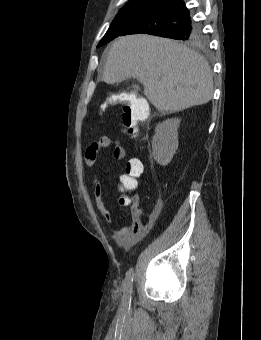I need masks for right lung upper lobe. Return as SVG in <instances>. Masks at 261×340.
Segmentation results:
<instances>
[{"label": "right lung upper lobe", "mask_w": 261, "mask_h": 340, "mask_svg": "<svg viewBox=\"0 0 261 340\" xmlns=\"http://www.w3.org/2000/svg\"><path fill=\"white\" fill-rule=\"evenodd\" d=\"M162 0H130L127 4L130 3H137V2H155V3H159Z\"/></svg>", "instance_id": "cb5924a9"}]
</instances>
